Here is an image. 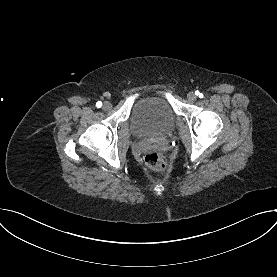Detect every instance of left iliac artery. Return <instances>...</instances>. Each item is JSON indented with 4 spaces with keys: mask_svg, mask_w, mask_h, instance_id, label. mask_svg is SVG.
<instances>
[{
    "mask_svg": "<svg viewBox=\"0 0 277 277\" xmlns=\"http://www.w3.org/2000/svg\"><path fill=\"white\" fill-rule=\"evenodd\" d=\"M196 95H198L199 97H203V94L199 93V91L196 92Z\"/></svg>",
    "mask_w": 277,
    "mask_h": 277,
    "instance_id": "1",
    "label": "left iliac artery"
}]
</instances>
